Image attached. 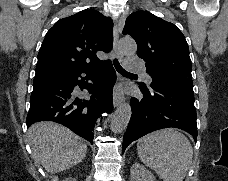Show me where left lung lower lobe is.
Here are the masks:
<instances>
[{"mask_svg":"<svg viewBox=\"0 0 228 181\" xmlns=\"http://www.w3.org/2000/svg\"><path fill=\"white\" fill-rule=\"evenodd\" d=\"M151 78L150 84L137 82L143 96L131 98L132 115L123 137L122 153L134 140L162 128L183 129L197 141L193 88L157 75Z\"/></svg>","mask_w":228,"mask_h":181,"instance_id":"obj_1","label":"left lung lower lobe"}]
</instances>
